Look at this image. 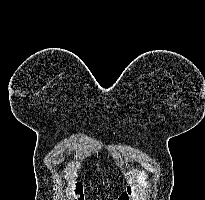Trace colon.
I'll return each mask as SVG.
<instances>
[{"instance_id":"1","label":"colon","mask_w":205,"mask_h":200,"mask_svg":"<svg viewBox=\"0 0 205 200\" xmlns=\"http://www.w3.org/2000/svg\"><path fill=\"white\" fill-rule=\"evenodd\" d=\"M75 174L76 171H73V175ZM140 183L139 178H135L128 186L126 193L122 194L118 200H132ZM71 194L73 200H84V189L80 182L74 181Z\"/></svg>"}]
</instances>
